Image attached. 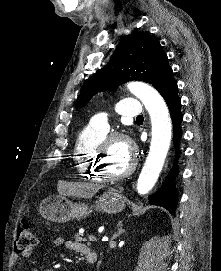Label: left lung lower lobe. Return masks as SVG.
Here are the masks:
<instances>
[{"label": "left lung lower lobe", "instance_id": "0a47b994", "mask_svg": "<svg viewBox=\"0 0 221 271\" xmlns=\"http://www.w3.org/2000/svg\"><path fill=\"white\" fill-rule=\"evenodd\" d=\"M161 95L165 99L172 120L174 128V145H175V164L170 170L169 174L165 178V181L161 188L149 197V202L155 205H160L166 208L172 215H175L177 205V191L175 189V177L179 173L177 160L179 158V147L178 143L182 136L181 122L182 114L180 112L181 99L177 95V83L172 82L166 89L161 92Z\"/></svg>", "mask_w": 221, "mask_h": 271}]
</instances>
